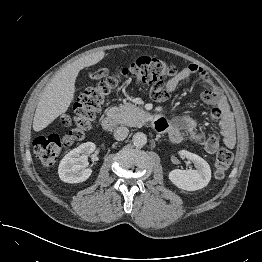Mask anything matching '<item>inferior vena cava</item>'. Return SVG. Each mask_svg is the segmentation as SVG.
Returning <instances> with one entry per match:
<instances>
[{"label":"inferior vena cava","mask_w":262,"mask_h":262,"mask_svg":"<svg viewBox=\"0 0 262 262\" xmlns=\"http://www.w3.org/2000/svg\"><path fill=\"white\" fill-rule=\"evenodd\" d=\"M129 130L127 127H118L114 131V137L116 140H124L128 136Z\"/></svg>","instance_id":"inferior-vena-cava-1"}]
</instances>
